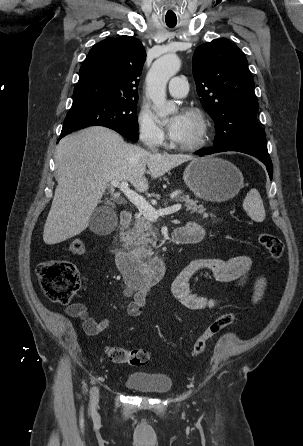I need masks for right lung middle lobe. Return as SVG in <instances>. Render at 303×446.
I'll return each mask as SVG.
<instances>
[{
    "label": "right lung middle lobe",
    "mask_w": 303,
    "mask_h": 446,
    "mask_svg": "<svg viewBox=\"0 0 303 446\" xmlns=\"http://www.w3.org/2000/svg\"><path fill=\"white\" fill-rule=\"evenodd\" d=\"M137 101H108L71 108L61 135L89 126H105L132 141L138 140Z\"/></svg>",
    "instance_id": "1"
}]
</instances>
